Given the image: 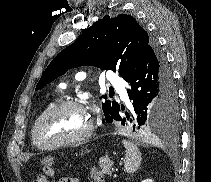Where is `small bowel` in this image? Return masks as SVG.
Segmentation results:
<instances>
[{
	"label": "small bowel",
	"mask_w": 211,
	"mask_h": 182,
	"mask_svg": "<svg viewBox=\"0 0 211 182\" xmlns=\"http://www.w3.org/2000/svg\"><path fill=\"white\" fill-rule=\"evenodd\" d=\"M59 182H79V181L75 178H64L60 180Z\"/></svg>",
	"instance_id": "small-bowel-1"
}]
</instances>
